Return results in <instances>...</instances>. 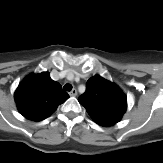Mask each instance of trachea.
<instances>
[{
	"instance_id": "3493384b",
	"label": "trachea",
	"mask_w": 163,
	"mask_h": 163,
	"mask_svg": "<svg viewBox=\"0 0 163 163\" xmlns=\"http://www.w3.org/2000/svg\"><path fill=\"white\" fill-rule=\"evenodd\" d=\"M63 90L71 91L72 90V85L71 84H65L64 87H63Z\"/></svg>"
}]
</instances>
